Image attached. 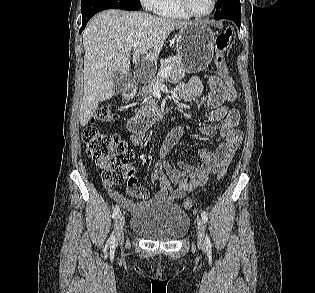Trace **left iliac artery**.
I'll return each instance as SVG.
<instances>
[{
  "instance_id": "1",
  "label": "left iliac artery",
  "mask_w": 315,
  "mask_h": 293,
  "mask_svg": "<svg viewBox=\"0 0 315 293\" xmlns=\"http://www.w3.org/2000/svg\"><path fill=\"white\" fill-rule=\"evenodd\" d=\"M201 217L205 223L208 221V215L206 212L202 211ZM205 246H206V248H211V241H210V238L208 235H206V237H205Z\"/></svg>"
}]
</instances>
